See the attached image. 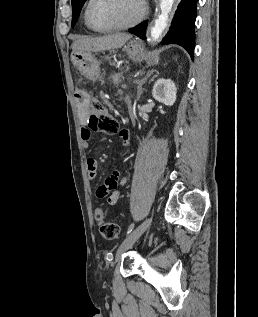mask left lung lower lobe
Returning <instances> with one entry per match:
<instances>
[{
	"mask_svg": "<svg viewBox=\"0 0 258 317\" xmlns=\"http://www.w3.org/2000/svg\"><path fill=\"white\" fill-rule=\"evenodd\" d=\"M198 0H182L175 12L171 27L161 44H178L182 46L194 59L195 20ZM147 21L129 30L130 33L146 39Z\"/></svg>",
	"mask_w": 258,
	"mask_h": 317,
	"instance_id": "left-lung-lower-lobe-1",
	"label": "left lung lower lobe"
}]
</instances>
